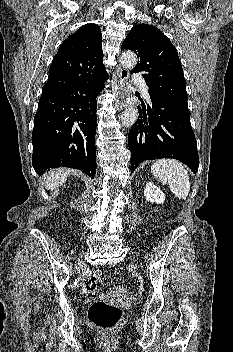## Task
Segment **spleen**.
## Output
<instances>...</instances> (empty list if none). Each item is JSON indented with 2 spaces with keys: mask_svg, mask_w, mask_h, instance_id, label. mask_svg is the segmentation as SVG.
<instances>
[{
  "mask_svg": "<svg viewBox=\"0 0 233 352\" xmlns=\"http://www.w3.org/2000/svg\"><path fill=\"white\" fill-rule=\"evenodd\" d=\"M153 175L163 184H168L171 192L185 200L190 191L189 175L182 163L174 159H160L151 166Z\"/></svg>",
  "mask_w": 233,
  "mask_h": 352,
  "instance_id": "1",
  "label": "spleen"
}]
</instances>
